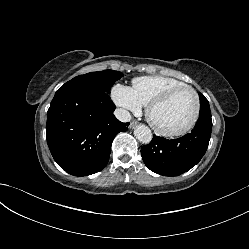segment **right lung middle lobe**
I'll use <instances>...</instances> for the list:
<instances>
[{"mask_svg":"<svg viewBox=\"0 0 249 249\" xmlns=\"http://www.w3.org/2000/svg\"><path fill=\"white\" fill-rule=\"evenodd\" d=\"M122 73L113 70H104L99 72H91L77 76L68 83H79L97 88L99 91L110 93L112 85L121 77Z\"/></svg>","mask_w":249,"mask_h":249,"instance_id":"1","label":"right lung middle lobe"}]
</instances>
